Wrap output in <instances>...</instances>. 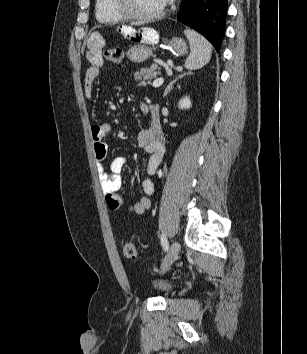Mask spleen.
<instances>
[{
    "label": "spleen",
    "instance_id": "1",
    "mask_svg": "<svg viewBox=\"0 0 307 354\" xmlns=\"http://www.w3.org/2000/svg\"><path fill=\"white\" fill-rule=\"evenodd\" d=\"M185 33L190 44V54L185 61V68L189 70L200 69L211 59L212 45L193 30L188 29Z\"/></svg>",
    "mask_w": 307,
    "mask_h": 354
}]
</instances>
